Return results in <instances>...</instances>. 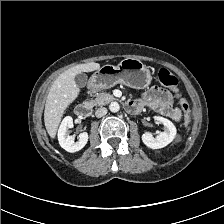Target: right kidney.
<instances>
[{
	"mask_svg": "<svg viewBox=\"0 0 224 224\" xmlns=\"http://www.w3.org/2000/svg\"><path fill=\"white\" fill-rule=\"evenodd\" d=\"M73 127V118L66 116L58 129V141L60 146L68 152H76L81 150L88 141V133L82 132L79 135L77 142L74 141V137L68 135L67 130Z\"/></svg>",
	"mask_w": 224,
	"mask_h": 224,
	"instance_id": "obj_1",
	"label": "right kidney"
}]
</instances>
